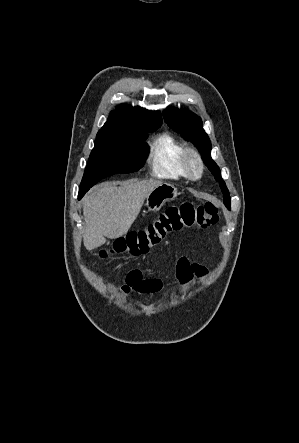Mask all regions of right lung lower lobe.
Instances as JSON below:
<instances>
[{"instance_id": "98d812e1", "label": "right lung lower lobe", "mask_w": 299, "mask_h": 443, "mask_svg": "<svg viewBox=\"0 0 299 443\" xmlns=\"http://www.w3.org/2000/svg\"><path fill=\"white\" fill-rule=\"evenodd\" d=\"M83 196L82 195H78V198L81 199Z\"/></svg>"}]
</instances>
